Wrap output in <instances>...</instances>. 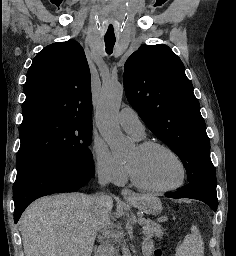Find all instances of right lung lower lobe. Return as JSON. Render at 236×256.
<instances>
[{"mask_svg": "<svg viewBox=\"0 0 236 256\" xmlns=\"http://www.w3.org/2000/svg\"><path fill=\"white\" fill-rule=\"evenodd\" d=\"M95 174L93 163L75 160L38 163L17 174L13 185L17 223L25 208L39 197L62 192H75Z\"/></svg>", "mask_w": 236, "mask_h": 256, "instance_id": "98d812e1", "label": "right lung lower lobe"}]
</instances>
